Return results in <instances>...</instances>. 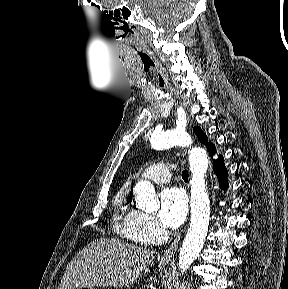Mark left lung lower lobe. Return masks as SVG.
I'll list each match as a JSON object with an SVG mask.
<instances>
[{"mask_svg": "<svg viewBox=\"0 0 288 289\" xmlns=\"http://www.w3.org/2000/svg\"><path fill=\"white\" fill-rule=\"evenodd\" d=\"M208 150L210 152V156L212 157L213 154H215V148L214 145L211 144L208 147ZM215 173L218 175L219 184L221 188L226 189L228 187V181H227V169L224 165L223 157L219 156V158L215 161Z\"/></svg>", "mask_w": 288, "mask_h": 289, "instance_id": "1", "label": "left lung lower lobe"}]
</instances>
